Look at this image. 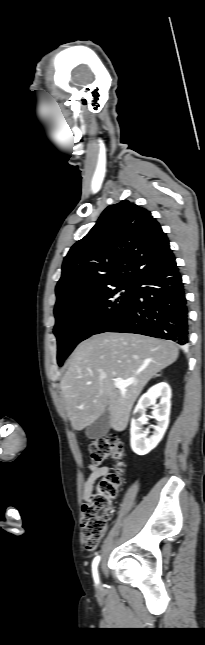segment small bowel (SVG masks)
<instances>
[{
    "instance_id": "small-bowel-1",
    "label": "small bowel",
    "mask_w": 205,
    "mask_h": 645,
    "mask_svg": "<svg viewBox=\"0 0 205 645\" xmlns=\"http://www.w3.org/2000/svg\"><path fill=\"white\" fill-rule=\"evenodd\" d=\"M89 470V476L86 478L83 485L84 500H87L91 496L96 480L105 476L109 472V468L107 466H97L93 464L89 466Z\"/></svg>"
}]
</instances>
